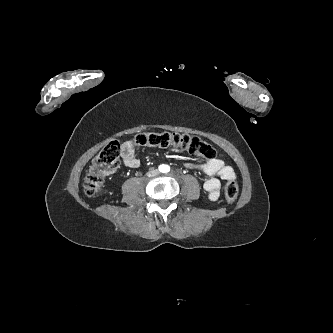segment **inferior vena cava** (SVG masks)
Instances as JSON below:
<instances>
[{
  "label": "inferior vena cava",
  "instance_id": "1",
  "mask_svg": "<svg viewBox=\"0 0 333 333\" xmlns=\"http://www.w3.org/2000/svg\"><path fill=\"white\" fill-rule=\"evenodd\" d=\"M158 174H159V171L157 169L151 170L147 173V175L150 177L157 176Z\"/></svg>",
  "mask_w": 333,
  "mask_h": 333
}]
</instances>
